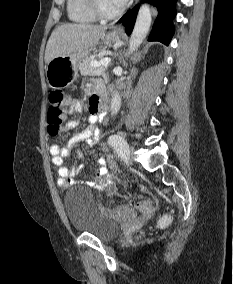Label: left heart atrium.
I'll list each match as a JSON object with an SVG mask.
<instances>
[{
  "label": "left heart atrium",
  "instance_id": "39dd6f15",
  "mask_svg": "<svg viewBox=\"0 0 233 284\" xmlns=\"http://www.w3.org/2000/svg\"><path fill=\"white\" fill-rule=\"evenodd\" d=\"M114 1L118 6H123L128 2V0H114Z\"/></svg>",
  "mask_w": 233,
  "mask_h": 284
}]
</instances>
